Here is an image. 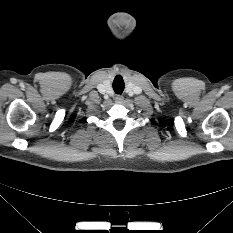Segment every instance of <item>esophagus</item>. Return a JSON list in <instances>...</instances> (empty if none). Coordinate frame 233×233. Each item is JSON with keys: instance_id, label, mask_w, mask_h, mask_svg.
Returning a JSON list of instances; mask_svg holds the SVG:
<instances>
[{"instance_id": "1", "label": "esophagus", "mask_w": 233, "mask_h": 233, "mask_svg": "<svg viewBox=\"0 0 233 233\" xmlns=\"http://www.w3.org/2000/svg\"><path fill=\"white\" fill-rule=\"evenodd\" d=\"M123 100H124V97H123L122 95H117V96L115 97V102H116V103H122Z\"/></svg>"}]
</instances>
